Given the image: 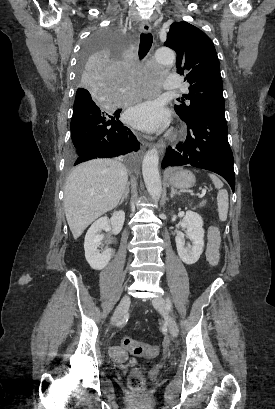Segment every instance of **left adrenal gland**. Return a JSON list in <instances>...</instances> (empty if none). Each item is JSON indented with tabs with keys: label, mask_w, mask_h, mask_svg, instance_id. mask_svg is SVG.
I'll use <instances>...</instances> for the list:
<instances>
[{
	"label": "left adrenal gland",
	"mask_w": 275,
	"mask_h": 409,
	"mask_svg": "<svg viewBox=\"0 0 275 409\" xmlns=\"http://www.w3.org/2000/svg\"><path fill=\"white\" fill-rule=\"evenodd\" d=\"M174 194H181V192H178V190H176V188H174V186H171V198H173Z\"/></svg>",
	"instance_id": "1"
}]
</instances>
